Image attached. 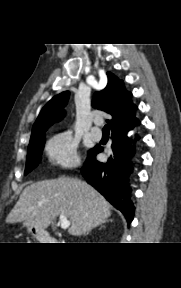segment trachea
Returning a JSON list of instances; mask_svg holds the SVG:
<instances>
[{"mask_svg":"<svg viewBox=\"0 0 181 288\" xmlns=\"http://www.w3.org/2000/svg\"><path fill=\"white\" fill-rule=\"evenodd\" d=\"M110 131V126L107 124L103 127V132H109Z\"/></svg>","mask_w":181,"mask_h":288,"instance_id":"3493384b","label":"trachea"}]
</instances>
